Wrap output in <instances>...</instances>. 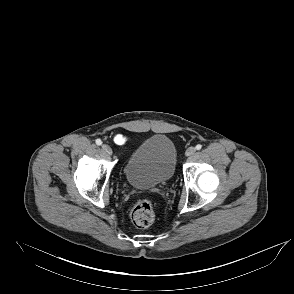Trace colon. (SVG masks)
<instances>
[{
	"label": "colon",
	"mask_w": 294,
	"mask_h": 294,
	"mask_svg": "<svg viewBox=\"0 0 294 294\" xmlns=\"http://www.w3.org/2000/svg\"><path fill=\"white\" fill-rule=\"evenodd\" d=\"M155 218V212L150 200L137 201L130 211V219L137 228L149 227Z\"/></svg>",
	"instance_id": "1"
}]
</instances>
